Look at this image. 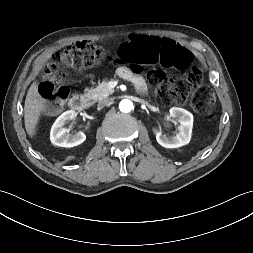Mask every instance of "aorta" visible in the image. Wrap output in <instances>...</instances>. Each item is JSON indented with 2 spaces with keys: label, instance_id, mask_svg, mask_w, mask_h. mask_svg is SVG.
I'll return each instance as SVG.
<instances>
[{
  "label": "aorta",
  "instance_id": "762f6f07",
  "mask_svg": "<svg viewBox=\"0 0 253 253\" xmlns=\"http://www.w3.org/2000/svg\"><path fill=\"white\" fill-rule=\"evenodd\" d=\"M119 109H120L121 112H124V113L130 112L133 109L132 101H130L128 99H123L119 103Z\"/></svg>",
  "mask_w": 253,
  "mask_h": 253
}]
</instances>
